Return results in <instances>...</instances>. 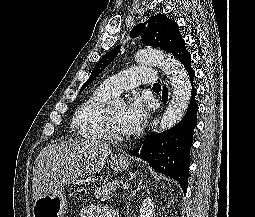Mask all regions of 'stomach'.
<instances>
[{
	"label": "stomach",
	"instance_id": "obj_1",
	"mask_svg": "<svg viewBox=\"0 0 255 217\" xmlns=\"http://www.w3.org/2000/svg\"><path fill=\"white\" fill-rule=\"evenodd\" d=\"M109 164L115 172H122L129 167V160L123 154H113ZM67 209V200L64 193L58 190L55 194H49L35 200L33 205V217H63Z\"/></svg>",
	"mask_w": 255,
	"mask_h": 217
}]
</instances>
